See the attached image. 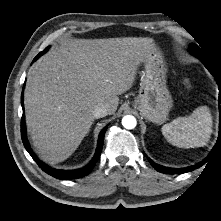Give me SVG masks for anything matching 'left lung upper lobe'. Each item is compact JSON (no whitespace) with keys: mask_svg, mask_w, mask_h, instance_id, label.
<instances>
[{"mask_svg":"<svg viewBox=\"0 0 221 221\" xmlns=\"http://www.w3.org/2000/svg\"><path fill=\"white\" fill-rule=\"evenodd\" d=\"M190 50L193 54H195L201 60H202V58H204V54H203L202 50L196 44H191Z\"/></svg>","mask_w":221,"mask_h":221,"instance_id":"1","label":"left lung upper lobe"}]
</instances>
